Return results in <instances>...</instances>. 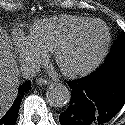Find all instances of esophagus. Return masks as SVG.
<instances>
[{"label":"esophagus","instance_id":"34e87169","mask_svg":"<svg viewBox=\"0 0 125 125\" xmlns=\"http://www.w3.org/2000/svg\"><path fill=\"white\" fill-rule=\"evenodd\" d=\"M36 82L38 85H48L50 83L48 80L42 78L37 79Z\"/></svg>","mask_w":125,"mask_h":125}]
</instances>
